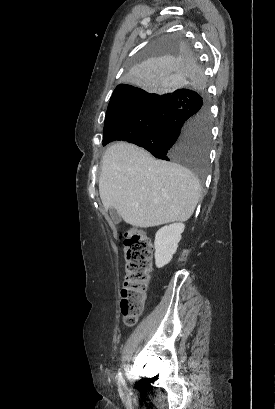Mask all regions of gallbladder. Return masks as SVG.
I'll return each mask as SVG.
<instances>
[{
    "label": "gallbladder",
    "instance_id": "gallbladder-1",
    "mask_svg": "<svg viewBox=\"0 0 275 409\" xmlns=\"http://www.w3.org/2000/svg\"><path fill=\"white\" fill-rule=\"evenodd\" d=\"M110 217H111L112 223H114V225H118V223H121V221H122V217H120L119 213H117V211H115V209H110Z\"/></svg>",
    "mask_w": 275,
    "mask_h": 409
}]
</instances>
